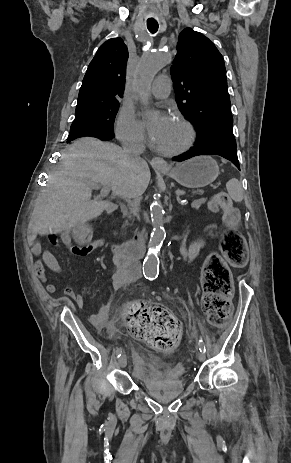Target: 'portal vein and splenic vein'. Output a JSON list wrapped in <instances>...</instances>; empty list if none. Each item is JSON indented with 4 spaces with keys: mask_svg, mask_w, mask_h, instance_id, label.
<instances>
[{
    "mask_svg": "<svg viewBox=\"0 0 291 463\" xmlns=\"http://www.w3.org/2000/svg\"><path fill=\"white\" fill-rule=\"evenodd\" d=\"M93 186H94L95 188H97V189L100 188V185H98V184H94ZM108 192H109V190H108L107 188H102V189H101V194H102V195H107ZM184 193H185V192L182 191V190H177V191H176V194H178V195H181V194H184Z\"/></svg>",
    "mask_w": 291,
    "mask_h": 463,
    "instance_id": "obj_1",
    "label": "portal vein and splenic vein"
}]
</instances>
